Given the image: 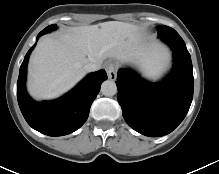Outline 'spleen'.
<instances>
[{
	"instance_id": "obj_1",
	"label": "spleen",
	"mask_w": 219,
	"mask_h": 174,
	"mask_svg": "<svg viewBox=\"0 0 219 174\" xmlns=\"http://www.w3.org/2000/svg\"><path fill=\"white\" fill-rule=\"evenodd\" d=\"M165 71V59L163 62L155 65L149 69H147L144 73V76L150 80H157L159 79Z\"/></svg>"
}]
</instances>
